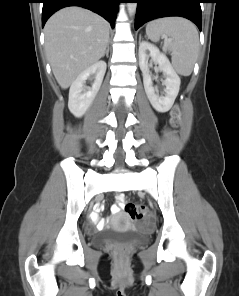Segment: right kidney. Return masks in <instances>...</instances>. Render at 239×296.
I'll use <instances>...</instances> for the list:
<instances>
[{
  "instance_id": "right-kidney-1",
  "label": "right kidney",
  "mask_w": 239,
  "mask_h": 296,
  "mask_svg": "<svg viewBox=\"0 0 239 296\" xmlns=\"http://www.w3.org/2000/svg\"><path fill=\"white\" fill-rule=\"evenodd\" d=\"M106 67L105 61H98L80 73L71 84L68 108L74 116H83L92 104L101 87ZM88 79H94L92 87H86Z\"/></svg>"
}]
</instances>
